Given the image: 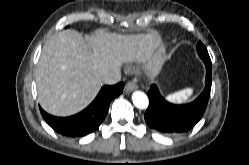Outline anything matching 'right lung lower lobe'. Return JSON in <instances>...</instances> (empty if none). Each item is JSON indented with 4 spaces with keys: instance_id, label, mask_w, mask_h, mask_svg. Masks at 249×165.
Listing matches in <instances>:
<instances>
[{
    "instance_id": "obj_1",
    "label": "right lung lower lobe",
    "mask_w": 249,
    "mask_h": 165,
    "mask_svg": "<svg viewBox=\"0 0 249 165\" xmlns=\"http://www.w3.org/2000/svg\"><path fill=\"white\" fill-rule=\"evenodd\" d=\"M122 82L104 86L95 100L80 113L70 117H55L40 108L45 121L59 134L68 137L85 136L95 131L104 120L109 104L123 90Z\"/></svg>"
}]
</instances>
